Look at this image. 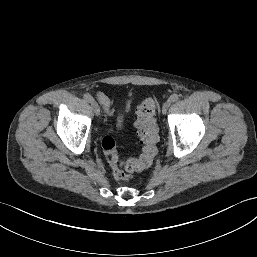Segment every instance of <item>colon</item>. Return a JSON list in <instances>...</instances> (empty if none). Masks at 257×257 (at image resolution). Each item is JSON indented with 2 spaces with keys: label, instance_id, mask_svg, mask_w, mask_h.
<instances>
[{
  "label": "colon",
  "instance_id": "colon-1",
  "mask_svg": "<svg viewBox=\"0 0 257 257\" xmlns=\"http://www.w3.org/2000/svg\"><path fill=\"white\" fill-rule=\"evenodd\" d=\"M136 128L142 144V152L138 157L121 159L115 140L110 136L102 140L103 152L117 180L127 181V173L150 167L158 153L159 136L155 122V102L152 98L143 100L138 106Z\"/></svg>",
  "mask_w": 257,
  "mask_h": 257
}]
</instances>
